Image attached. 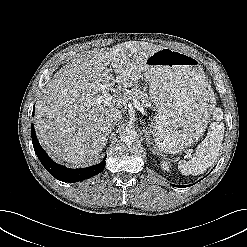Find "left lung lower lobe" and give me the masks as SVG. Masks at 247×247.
<instances>
[{
    "label": "left lung lower lobe",
    "mask_w": 247,
    "mask_h": 247,
    "mask_svg": "<svg viewBox=\"0 0 247 247\" xmlns=\"http://www.w3.org/2000/svg\"><path fill=\"white\" fill-rule=\"evenodd\" d=\"M173 186H176V187H186V185L184 186H181V185H173ZM189 185H187V187H188ZM191 186V185H190Z\"/></svg>",
    "instance_id": "0a47b994"
}]
</instances>
